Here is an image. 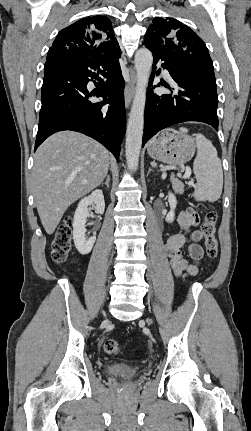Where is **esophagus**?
I'll return each instance as SVG.
<instances>
[{
    "label": "esophagus",
    "instance_id": "34e87169",
    "mask_svg": "<svg viewBox=\"0 0 251 431\" xmlns=\"http://www.w3.org/2000/svg\"><path fill=\"white\" fill-rule=\"evenodd\" d=\"M130 71V83L126 86L125 92H124V98H125V106L128 108L131 104L134 90H135V84H136V75L133 68L129 69Z\"/></svg>",
    "mask_w": 251,
    "mask_h": 431
}]
</instances>
